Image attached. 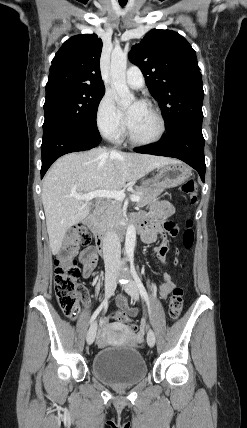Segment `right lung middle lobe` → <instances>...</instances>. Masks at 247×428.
I'll return each instance as SVG.
<instances>
[{"instance_id": "1", "label": "right lung middle lobe", "mask_w": 247, "mask_h": 428, "mask_svg": "<svg viewBox=\"0 0 247 428\" xmlns=\"http://www.w3.org/2000/svg\"><path fill=\"white\" fill-rule=\"evenodd\" d=\"M105 90L62 88L46 92L43 128L65 123L86 129H97L96 114Z\"/></svg>"}]
</instances>
